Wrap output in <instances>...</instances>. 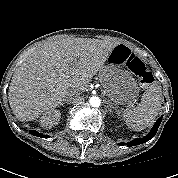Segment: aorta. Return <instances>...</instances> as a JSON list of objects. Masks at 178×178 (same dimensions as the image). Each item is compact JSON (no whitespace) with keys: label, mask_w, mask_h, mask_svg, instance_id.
Wrapping results in <instances>:
<instances>
[{"label":"aorta","mask_w":178,"mask_h":178,"mask_svg":"<svg viewBox=\"0 0 178 178\" xmlns=\"http://www.w3.org/2000/svg\"><path fill=\"white\" fill-rule=\"evenodd\" d=\"M89 102L93 107H99L101 104V100L97 96L90 97Z\"/></svg>","instance_id":"1"}]
</instances>
